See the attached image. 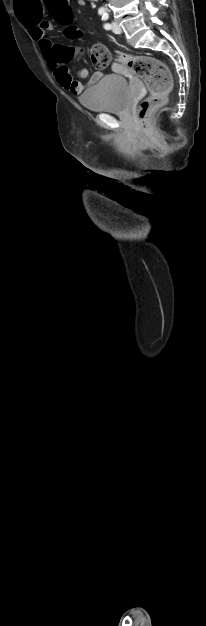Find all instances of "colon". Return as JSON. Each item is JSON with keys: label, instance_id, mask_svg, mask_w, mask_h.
Segmentation results:
<instances>
[{"label": "colon", "instance_id": "5ec220e1", "mask_svg": "<svg viewBox=\"0 0 206 626\" xmlns=\"http://www.w3.org/2000/svg\"><path fill=\"white\" fill-rule=\"evenodd\" d=\"M44 2L59 23L63 25L71 23L73 14L68 0H45ZM70 32L76 33L74 28H71ZM74 54L75 50L71 48L56 50V58L61 63L71 59ZM89 55L93 65L97 68H106L110 62V53L104 45L92 46L89 49ZM117 57L148 87L149 95L139 104L137 110L139 122L143 129L148 130V113L166 102L172 86L171 74L162 61L150 56L118 51Z\"/></svg>", "mask_w": 206, "mask_h": 626}]
</instances>
